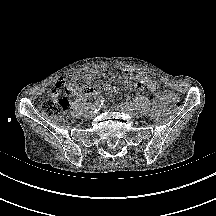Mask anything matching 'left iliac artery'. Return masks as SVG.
I'll return each instance as SVG.
<instances>
[{
    "label": "left iliac artery",
    "instance_id": "44dca946",
    "mask_svg": "<svg viewBox=\"0 0 216 216\" xmlns=\"http://www.w3.org/2000/svg\"><path fill=\"white\" fill-rule=\"evenodd\" d=\"M125 106L128 107L130 110H134L135 106L132 102H126Z\"/></svg>",
    "mask_w": 216,
    "mask_h": 216
}]
</instances>
